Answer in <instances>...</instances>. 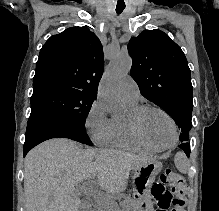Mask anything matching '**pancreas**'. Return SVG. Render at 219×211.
Returning <instances> with one entry per match:
<instances>
[{
	"label": "pancreas",
	"instance_id": "cf45deb5",
	"mask_svg": "<svg viewBox=\"0 0 219 211\" xmlns=\"http://www.w3.org/2000/svg\"><path fill=\"white\" fill-rule=\"evenodd\" d=\"M135 203V200H104L103 209L105 211H136Z\"/></svg>",
	"mask_w": 219,
	"mask_h": 211
}]
</instances>
